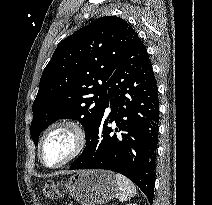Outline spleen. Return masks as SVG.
<instances>
[{"label": "spleen", "instance_id": "spleen-1", "mask_svg": "<svg viewBox=\"0 0 212 205\" xmlns=\"http://www.w3.org/2000/svg\"><path fill=\"white\" fill-rule=\"evenodd\" d=\"M114 177L118 185L119 201L123 202L135 196L136 187L128 178L117 173L114 174Z\"/></svg>", "mask_w": 212, "mask_h": 205}]
</instances>
